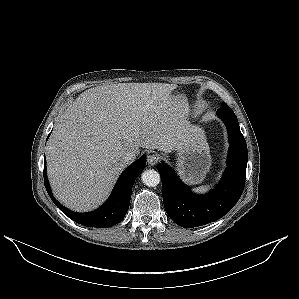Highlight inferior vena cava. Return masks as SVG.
Returning <instances> with one entry per match:
<instances>
[{
  "instance_id": "1",
  "label": "inferior vena cava",
  "mask_w": 299,
  "mask_h": 299,
  "mask_svg": "<svg viewBox=\"0 0 299 299\" xmlns=\"http://www.w3.org/2000/svg\"><path fill=\"white\" fill-rule=\"evenodd\" d=\"M137 156V152L136 150H127L123 156H122V161L124 164L129 165L130 163H132Z\"/></svg>"
}]
</instances>
